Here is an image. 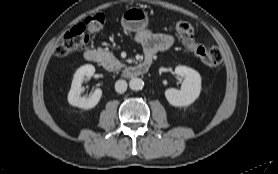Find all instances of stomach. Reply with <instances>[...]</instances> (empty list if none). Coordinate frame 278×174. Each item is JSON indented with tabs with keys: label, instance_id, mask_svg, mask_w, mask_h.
I'll return each mask as SVG.
<instances>
[{
	"label": "stomach",
	"instance_id": "obj_1",
	"mask_svg": "<svg viewBox=\"0 0 278 174\" xmlns=\"http://www.w3.org/2000/svg\"><path fill=\"white\" fill-rule=\"evenodd\" d=\"M149 23L148 13L139 7H130L124 11L121 17L122 27L130 32L144 30Z\"/></svg>",
	"mask_w": 278,
	"mask_h": 174
}]
</instances>
